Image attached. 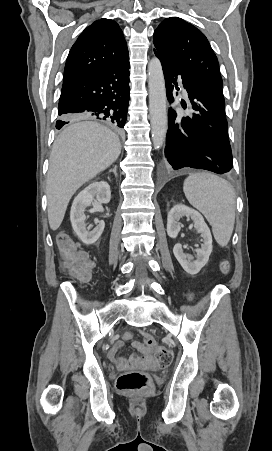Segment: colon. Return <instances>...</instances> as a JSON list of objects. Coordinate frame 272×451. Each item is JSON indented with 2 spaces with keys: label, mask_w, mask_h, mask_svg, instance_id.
I'll list each match as a JSON object with an SVG mask.
<instances>
[{
  "label": "colon",
  "mask_w": 272,
  "mask_h": 451,
  "mask_svg": "<svg viewBox=\"0 0 272 451\" xmlns=\"http://www.w3.org/2000/svg\"><path fill=\"white\" fill-rule=\"evenodd\" d=\"M58 246L61 248L59 257L60 260H65L59 264L61 271H69L70 277L75 276L80 282H83L85 278H89L90 262L87 261V251H82L81 247H73L74 243L71 242V237L66 234H59L56 237ZM223 272H228L229 266L227 264H221L220 266ZM118 349L121 347L118 346ZM145 350L151 351L153 355L154 367H165L172 361L173 353L171 350H166L164 345H157L156 342H146ZM111 367H125L121 375L117 379L116 386L119 390L128 392H138L140 390L148 389L151 385L149 376L141 370L133 369L128 365V358H111Z\"/></svg>",
  "instance_id": "obj_1"
}]
</instances>
